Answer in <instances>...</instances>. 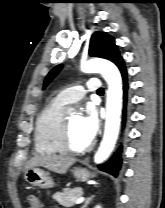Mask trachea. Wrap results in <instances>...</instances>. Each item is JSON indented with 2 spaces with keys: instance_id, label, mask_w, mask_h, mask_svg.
Masks as SVG:
<instances>
[{
  "instance_id": "3493384b",
  "label": "trachea",
  "mask_w": 165,
  "mask_h": 208,
  "mask_svg": "<svg viewBox=\"0 0 165 208\" xmlns=\"http://www.w3.org/2000/svg\"><path fill=\"white\" fill-rule=\"evenodd\" d=\"M103 92H104L103 88H100L97 93L102 94Z\"/></svg>"
}]
</instances>
